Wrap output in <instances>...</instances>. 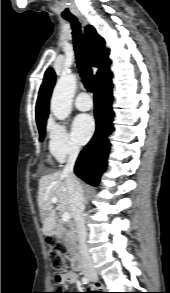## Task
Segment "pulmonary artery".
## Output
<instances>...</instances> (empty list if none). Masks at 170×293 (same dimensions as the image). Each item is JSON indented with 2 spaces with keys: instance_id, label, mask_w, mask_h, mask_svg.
I'll return each mask as SVG.
<instances>
[{
  "instance_id": "pulmonary-artery-1",
  "label": "pulmonary artery",
  "mask_w": 170,
  "mask_h": 293,
  "mask_svg": "<svg viewBox=\"0 0 170 293\" xmlns=\"http://www.w3.org/2000/svg\"><path fill=\"white\" fill-rule=\"evenodd\" d=\"M75 106L78 110L88 111L93 107V101L89 94L81 92L75 100Z\"/></svg>"
}]
</instances>
